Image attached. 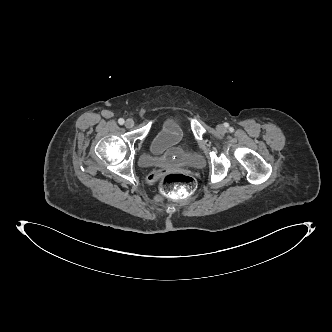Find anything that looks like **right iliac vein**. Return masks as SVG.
<instances>
[{"mask_svg": "<svg viewBox=\"0 0 332 332\" xmlns=\"http://www.w3.org/2000/svg\"><path fill=\"white\" fill-rule=\"evenodd\" d=\"M134 126V121L133 119H127L125 122V127L126 128H132Z\"/></svg>", "mask_w": 332, "mask_h": 332, "instance_id": "1", "label": "right iliac vein"}]
</instances>
